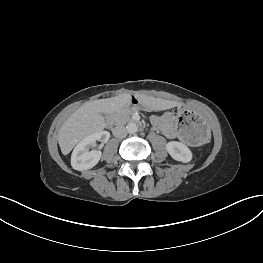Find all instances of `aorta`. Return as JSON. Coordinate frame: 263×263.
Instances as JSON below:
<instances>
[{
	"instance_id": "obj_1",
	"label": "aorta",
	"mask_w": 263,
	"mask_h": 263,
	"mask_svg": "<svg viewBox=\"0 0 263 263\" xmlns=\"http://www.w3.org/2000/svg\"><path fill=\"white\" fill-rule=\"evenodd\" d=\"M126 131L129 134H135L138 131V126L135 122H130L127 126H126Z\"/></svg>"
}]
</instances>
